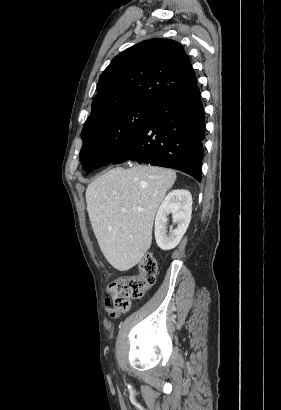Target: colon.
Masks as SVG:
<instances>
[{
	"mask_svg": "<svg viewBox=\"0 0 281 410\" xmlns=\"http://www.w3.org/2000/svg\"><path fill=\"white\" fill-rule=\"evenodd\" d=\"M157 262L151 253H146L139 265L138 275H120L109 286L114 312H126L131 300L140 299L154 285Z\"/></svg>",
	"mask_w": 281,
	"mask_h": 410,
	"instance_id": "1",
	"label": "colon"
}]
</instances>
